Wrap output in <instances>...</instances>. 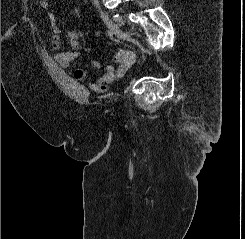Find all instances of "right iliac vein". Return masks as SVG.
I'll use <instances>...</instances> for the list:
<instances>
[{
    "label": "right iliac vein",
    "instance_id": "63e3f726",
    "mask_svg": "<svg viewBox=\"0 0 245 239\" xmlns=\"http://www.w3.org/2000/svg\"><path fill=\"white\" fill-rule=\"evenodd\" d=\"M98 12L109 30L112 31L118 39L124 41L127 37L126 34L109 18V16L102 9L98 8Z\"/></svg>",
    "mask_w": 245,
    "mask_h": 239
}]
</instances>
